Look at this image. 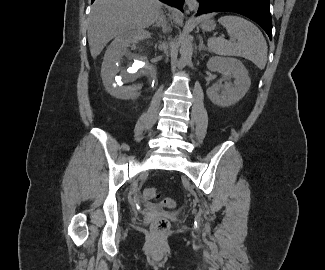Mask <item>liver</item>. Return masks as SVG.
Segmentation results:
<instances>
[{
	"label": "liver",
	"instance_id": "1",
	"mask_svg": "<svg viewBox=\"0 0 325 270\" xmlns=\"http://www.w3.org/2000/svg\"><path fill=\"white\" fill-rule=\"evenodd\" d=\"M158 0H96L88 21L90 53L96 58L109 41L126 37L149 27L161 14ZM174 21L181 23L178 11L173 10Z\"/></svg>",
	"mask_w": 325,
	"mask_h": 270
}]
</instances>
